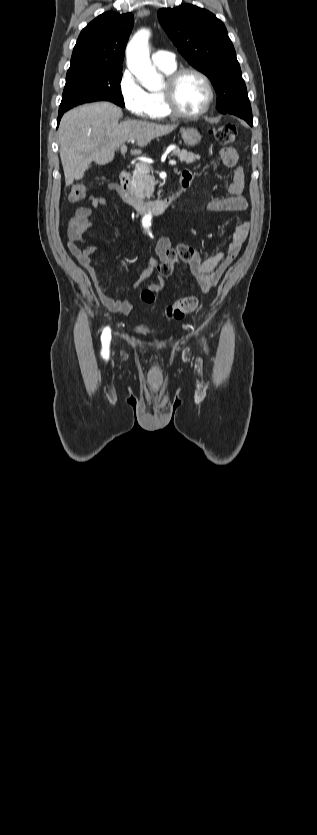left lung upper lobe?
<instances>
[{
    "instance_id": "left-lung-upper-lobe-1",
    "label": "left lung upper lobe",
    "mask_w": 317,
    "mask_h": 835,
    "mask_svg": "<svg viewBox=\"0 0 317 835\" xmlns=\"http://www.w3.org/2000/svg\"><path fill=\"white\" fill-rule=\"evenodd\" d=\"M158 18L178 51L212 81L218 111L252 118L236 52L222 21L211 12L189 4L162 8Z\"/></svg>"
}]
</instances>
